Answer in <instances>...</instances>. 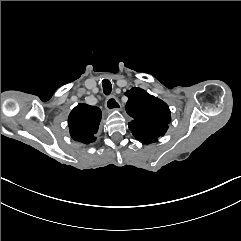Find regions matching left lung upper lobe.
I'll return each mask as SVG.
<instances>
[{"mask_svg":"<svg viewBox=\"0 0 241 241\" xmlns=\"http://www.w3.org/2000/svg\"><path fill=\"white\" fill-rule=\"evenodd\" d=\"M125 95L126 112L133 118L128 123L132 134L143 144L156 142L166 133L171 121L168 105L141 88H132Z\"/></svg>","mask_w":241,"mask_h":241,"instance_id":"obj_1","label":"left lung upper lobe"}]
</instances>
